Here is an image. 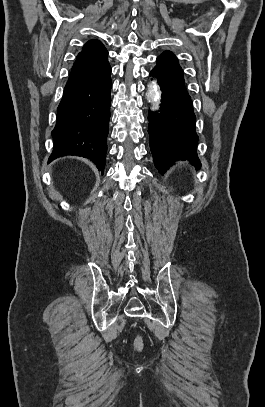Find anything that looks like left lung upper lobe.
Here are the masks:
<instances>
[{
	"instance_id": "1",
	"label": "left lung upper lobe",
	"mask_w": 265,
	"mask_h": 407,
	"mask_svg": "<svg viewBox=\"0 0 265 407\" xmlns=\"http://www.w3.org/2000/svg\"><path fill=\"white\" fill-rule=\"evenodd\" d=\"M161 61H163L165 64L170 66L171 68L177 70L180 73H183L182 68L179 65V62L176 58V56L171 52V51H164L159 57Z\"/></svg>"
}]
</instances>
